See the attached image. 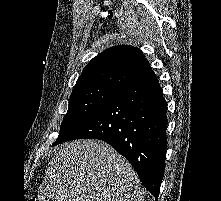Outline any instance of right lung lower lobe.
<instances>
[{
  "instance_id": "98d812e1",
  "label": "right lung lower lobe",
  "mask_w": 221,
  "mask_h": 201,
  "mask_svg": "<svg viewBox=\"0 0 221 201\" xmlns=\"http://www.w3.org/2000/svg\"><path fill=\"white\" fill-rule=\"evenodd\" d=\"M167 103L151 70L121 88L65 141L103 140L137 171L156 198L165 170Z\"/></svg>"
}]
</instances>
